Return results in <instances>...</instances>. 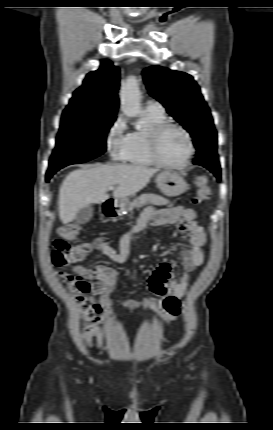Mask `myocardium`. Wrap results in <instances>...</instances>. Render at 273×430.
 <instances>
[{
	"label": "myocardium",
	"mask_w": 273,
	"mask_h": 430,
	"mask_svg": "<svg viewBox=\"0 0 273 430\" xmlns=\"http://www.w3.org/2000/svg\"><path fill=\"white\" fill-rule=\"evenodd\" d=\"M168 129H177L179 131H181L187 140L188 143V152L184 158V160L180 163H168L165 162L161 157H160V152H159V143H160V139L161 136L163 135V133L168 130ZM148 142H149V152H150V156L152 161L154 162L155 165L163 167V168H169V169H182L184 167H186L193 155H194V143L191 137V134L189 133V131L183 127L180 124L177 123H172V122H166L164 121L163 123H160L156 126H154L148 135Z\"/></svg>",
	"instance_id": "myocardium-1"
}]
</instances>
